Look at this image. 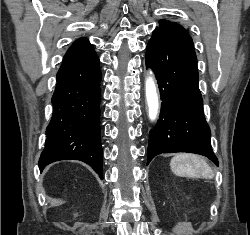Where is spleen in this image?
I'll return each instance as SVG.
<instances>
[{
    "instance_id": "3e777b00",
    "label": "spleen",
    "mask_w": 250,
    "mask_h": 235,
    "mask_svg": "<svg viewBox=\"0 0 250 235\" xmlns=\"http://www.w3.org/2000/svg\"><path fill=\"white\" fill-rule=\"evenodd\" d=\"M171 170L181 177L212 179L214 173L205 160L194 154H179L171 159Z\"/></svg>"
}]
</instances>
